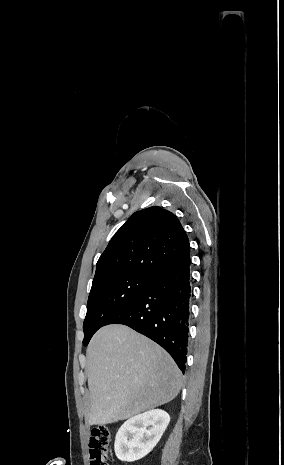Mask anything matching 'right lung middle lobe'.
Instances as JSON below:
<instances>
[{
    "instance_id": "dd1d6c3e",
    "label": "right lung middle lobe",
    "mask_w": 284,
    "mask_h": 465,
    "mask_svg": "<svg viewBox=\"0 0 284 465\" xmlns=\"http://www.w3.org/2000/svg\"><path fill=\"white\" fill-rule=\"evenodd\" d=\"M152 278L142 274H124L92 284L83 324V344L87 345L93 334L132 301Z\"/></svg>"
}]
</instances>
